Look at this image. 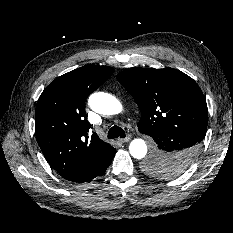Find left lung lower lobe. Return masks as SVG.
I'll use <instances>...</instances> for the list:
<instances>
[{"label":"left lung lower lobe","instance_id":"1","mask_svg":"<svg viewBox=\"0 0 233 233\" xmlns=\"http://www.w3.org/2000/svg\"><path fill=\"white\" fill-rule=\"evenodd\" d=\"M156 145L153 152H159L172 161L176 167L187 170L198 152L195 138L182 132L157 131L151 135ZM178 176L173 173L159 177Z\"/></svg>","mask_w":233,"mask_h":233}]
</instances>
